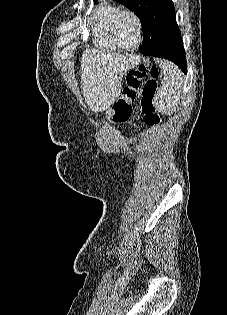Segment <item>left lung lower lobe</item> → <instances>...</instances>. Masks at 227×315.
Wrapping results in <instances>:
<instances>
[{"instance_id": "obj_1", "label": "left lung lower lobe", "mask_w": 227, "mask_h": 315, "mask_svg": "<svg viewBox=\"0 0 227 315\" xmlns=\"http://www.w3.org/2000/svg\"><path fill=\"white\" fill-rule=\"evenodd\" d=\"M140 51L144 55H151V56L169 59L175 64H177L184 73H186L187 64H186V56H185V50L183 48V43L173 48L158 49V48H154L150 40L145 41V42L143 41Z\"/></svg>"}]
</instances>
